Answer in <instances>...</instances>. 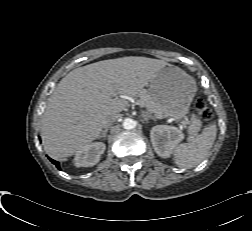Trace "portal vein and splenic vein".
<instances>
[{
    "label": "portal vein and splenic vein",
    "mask_w": 252,
    "mask_h": 231,
    "mask_svg": "<svg viewBox=\"0 0 252 231\" xmlns=\"http://www.w3.org/2000/svg\"><path fill=\"white\" fill-rule=\"evenodd\" d=\"M140 105V104H139ZM140 106H142V105H140ZM187 128V126H186V123L184 122V123H182V124H180V129L181 130H185Z\"/></svg>",
    "instance_id": "1"
}]
</instances>
